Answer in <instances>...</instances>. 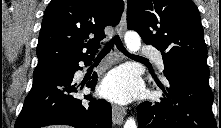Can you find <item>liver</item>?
Here are the masks:
<instances>
[{"instance_id": "liver-1", "label": "liver", "mask_w": 221, "mask_h": 128, "mask_svg": "<svg viewBox=\"0 0 221 128\" xmlns=\"http://www.w3.org/2000/svg\"><path fill=\"white\" fill-rule=\"evenodd\" d=\"M51 128H68L67 126H52Z\"/></svg>"}]
</instances>
